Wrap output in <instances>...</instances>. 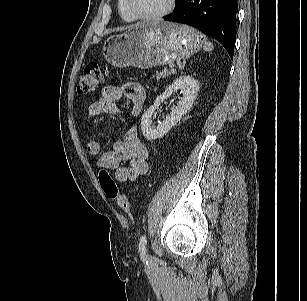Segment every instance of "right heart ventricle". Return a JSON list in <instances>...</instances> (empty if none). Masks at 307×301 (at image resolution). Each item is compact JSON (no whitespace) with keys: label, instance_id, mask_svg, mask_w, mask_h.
Returning a JSON list of instances; mask_svg holds the SVG:
<instances>
[{"label":"right heart ventricle","instance_id":"e07e8e85","mask_svg":"<svg viewBox=\"0 0 307 301\" xmlns=\"http://www.w3.org/2000/svg\"><path fill=\"white\" fill-rule=\"evenodd\" d=\"M117 6L119 13L124 21L126 22L136 21V18L132 15L131 11L128 8L126 0H118Z\"/></svg>","mask_w":307,"mask_h":301}]
</instances>
